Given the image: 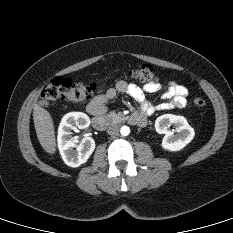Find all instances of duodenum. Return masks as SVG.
I'll return each mask as SVG.
<instances>
[{
    "mask_svg": "<svg viewBox=\"0 0 233 233\" xmlns=\"http://www.w3.org/2000/svg\"><path fill=\"white\" fill-rule=\"evenodd\" d=\"M92 124L98 130L106 129L110 124V118L102 114H92ZM129 121L132 124L143 126L146 124V117L140 113H134L130 116Z\"/></svg>",
    "mask_w": 233,
    "mask_h": 233,
    "instance_id": "1",
    "label": "duodenum"
}]
</instances>
